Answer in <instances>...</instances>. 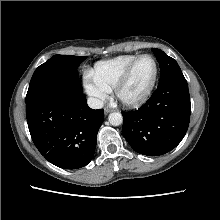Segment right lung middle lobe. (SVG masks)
<instances>
[{
    "mask_svg": "<svg viewBox=\"0 0 220 220\" xmlns=\"http://www.w3.org/2000/svg\"><path fill=\"white\" fill-rule=\"evenodd\" d=\"M85 59L86 56L54 55L40 65L30 81L26 104L45 97L70 96L81 92L77 85V68Z\"/></svg>",
    "mask_w": 220,
    "mask_h": 220,
    "instance_id": "1",
    "label": "right lung middle lobe"
}]
</instances>
